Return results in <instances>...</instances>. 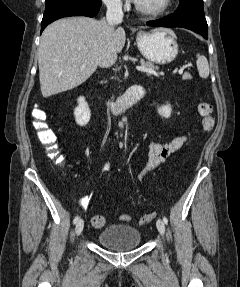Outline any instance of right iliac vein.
I'll return each mask as SVG.
<instances>
[{
	"label": "right iliac vein",
	"mask_w": 240,
	"mask_h": 287,
	"mask_svg": "<svg viewBox=\"0 0 240 287\" xmlns=\"http://www.w3.org/2000/svg\"><path fill=\"white\" fill-rule=\"evenodd\" d=\"M83 228H84V221L82 219H80L76 224L75 234L80 235L83 231Z\"/></svg>",
	"instance_id": "obj_1"
}]
</instances>
